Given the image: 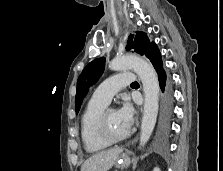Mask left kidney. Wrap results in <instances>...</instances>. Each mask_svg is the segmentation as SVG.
<instances>
[{"instance_id": "obj_1", "label": "left kidney", "mask_w": 223, "mask_h": 171, "mask_svg": "<svg viewBox=\"0 0 223 171\" xmlns=\"http://www.w3.org/2000/svg\"><path fill=\"white\" fill-rule=\"evenodd\" d=\"M153 171H160V169L158 167L154 168Z\"/></svg>"}]
</instances>
